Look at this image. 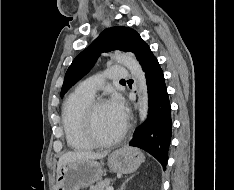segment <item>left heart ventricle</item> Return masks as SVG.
<instances>
[{"label": "left heart ventricle", "instance_id": "b2bd125f", "mask_svg": "<svg viewBox=\"0 0 234 190\" xmlns=\"http://www.w3.org/2000/svg\"><path fill=\"white\" fill-rule=\"evenodd\" d=\"M96 133L101 138H110L116 135L124 126L112 113L107 103L99 106L94 114Z\"/></svg>", "mask_w": 234, "mask_h": 190}]
</instances>
